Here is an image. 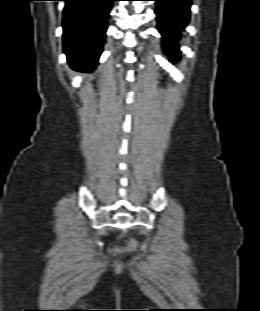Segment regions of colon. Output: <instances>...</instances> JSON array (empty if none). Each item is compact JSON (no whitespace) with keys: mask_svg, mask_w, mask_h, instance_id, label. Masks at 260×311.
<instances>
[{"mask_svg":"<svg viewBox=\"0 0 260 311\" xmlns=\"http://www.w3.org/2000/svg\"><path fill=\"white\" fill-rule=\"evenodd\" d=\"M136 246H137L136 240L130 239V241H129V249L130 250H134L136 248Z\"/></svg>","mask_w":260,"mask_h":311,"instance_id":"colon-1","label":"colon"}]
</instances>
